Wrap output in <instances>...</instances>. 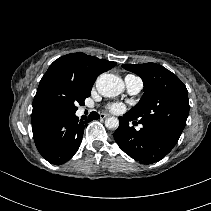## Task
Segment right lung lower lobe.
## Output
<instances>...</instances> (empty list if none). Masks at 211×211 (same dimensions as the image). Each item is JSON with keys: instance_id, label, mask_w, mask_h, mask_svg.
Instances as JSON below:
<instances>
[{"instance_id": "98d812e1", "label": "right lung lower lobe", "mask_w": 211, "mask_h": 211, "mask_svg": "<svg viewBox=\"0 0 211 211\" xmlns=\"http://www.w3.org/2000/svg\"><path fill=\"white\" fill-rule=\"evenodd\" d=\"M99 118L98 113L92 112L88 121ZM86 122L79 121L72 113L33 124V137L39 153L51 164H64L77 152Z\"/></svg>"}]
</instances>
